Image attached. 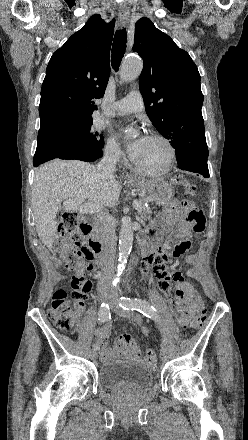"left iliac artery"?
Instances as JSON below:
<instances>
[{"instance_id":"44dca946","label":"left iliac artery","mask_w":248,"mask_h":440,"mask_svg":"<svg viewBox=\"0 0 248 440\" xmlns=\"http://www.w3.org/2000/svg\"><path fill=\"white\" fill-rule=\"evenodd\" d=\"M119 306L124 310H137L148 318L157 319L155 308L144 299L121 297Z\"/></svg>"}]
</instances>
